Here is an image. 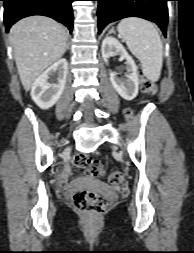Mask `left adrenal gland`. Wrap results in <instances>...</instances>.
Listing matches in <instances>:
<instances>
[{"label": "left adrenal gland", "mask_w": 194, "mask_h": 253, "mask_svg": "<svg viewBox=\"0 0 194 253\" xmlns=\"http://www.w3.org/2000/svg\"><path fill=\"white\" fill-rule=\"evenodd\" d=\"M112 32H114V28H112L108 33L110 34V33H112Z\"/></svg>", "instance_id": "obj_1"}]
</instances>
